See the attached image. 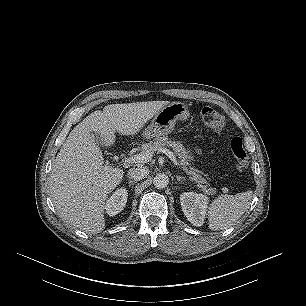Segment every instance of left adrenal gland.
I'll use <instances>...</instances> for the list:
<instances>
[{
	"label": "left adrenal gland",
	"mask_w": 306,
	"mask_h": 306,
	"mask_svg": "<svg viewBox=\"0 0 306 306\" xmlns=\"http://www.w3.org/2000/svg\"><path fill=\"white\" fill-rule=\"evenodd\" d=\"M176 179H177V181H183V180H185V178L182 177V176H176Z\"/></svg>",
	"instance_id": "a2214340"
}]
</instances>
